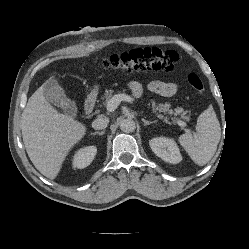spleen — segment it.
Here are the masks:
<instances>
[{
	"instance_id": "3e777b00",
	"label": "spleen",
	"mask_w": 249,
	"mask_h": 249,
	"mask_svg": "<svg viewBox=\"0 0 249 249\" xmlns=\"http://www.w3.org/2000/svg\"><path fill=\"white\" fill-rule=\"evenodd\" d=\"M196 134L185 133L179 137V143L198 165L203 166L214 156L221 138V128L210 105L198 117Z\"/></svg>"
}]
</instances>
